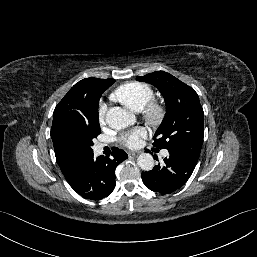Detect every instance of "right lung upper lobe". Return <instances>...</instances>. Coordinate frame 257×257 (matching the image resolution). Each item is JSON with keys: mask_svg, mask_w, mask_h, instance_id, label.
Here are the masks:
<instances>
[{"mask_svg": "<svg viewBox=\"0 0 257 257\" xmlns=\"http://www.w3.org/2000/svg\"><path fill=\"white\" fill-rule=\"evenodd\" d=\"M114 79L86 78L76 83L56 106L53 113V123L51 128V138L57 163L66 179H69L80 163L89 155L80 153L63 139L65 129L76 126L82 122L83 115L80 110L73 105L74 98L78 97L82 91L96 87H110Z\"/></svg>", "mask_w": 257, "mask_h": 257, "instance_id": "obj_1", "label": "right lung upper lobe"}]
</instances>
